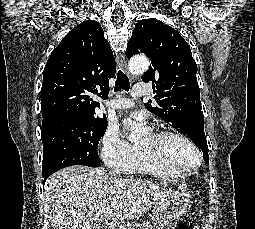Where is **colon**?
<instances>
[{
  "mask_svg": "<svg viewBox=\"0 0 255 229\" xmlns=\"http://www.w3.org/2000/svg\"><path fill=\"white\" fill-rule=\"evenodd\" d=\"M173 229H194V228L189 221L182 219L174 224Z\"/></svg>",
  "mask_w": 255,
  "mask_h": 229,
  "instance_id": "obj_1",
  "label": "colon"
}]
</instances>
